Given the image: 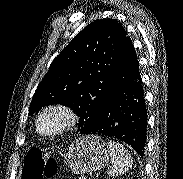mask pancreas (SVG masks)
I'll return each instance as SVG.
<instances>
[{
	"mask_svg": "<svg viewBox=\"0 0 183 179\" xmlns=\"http://www.w3.org/2000/svg\"><path fill=\"white\" fill-rule=\"evenodd\" d=\"M78 179H86L84 176H80Z\"/></svg>",
	"mask_w": 183,
	"mask_h": 179,
	"instance_id": "1",
	"label": "pancreas"
}]
</instances>
